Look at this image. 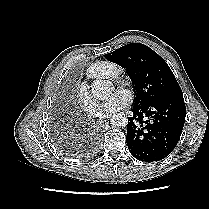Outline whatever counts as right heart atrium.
Returning <instances> with one entry per match:
<instances>
[{"mask_svg": "<svg viewBox=\"0 0 209 209\" xmlns=\"http://www.w3.org/2000/svg\"><path fill=\"white\" fill-rule=\"evenodd\" d=\"M75 99L79 107L88 115L94 116L97 113V103L93 99L90 91L85 86L77 89Z\"/></svg>", "mask_w": 209, "mask_h": 209, "instance_id": "1", "label": "right heart atrium"}]
</instances>
